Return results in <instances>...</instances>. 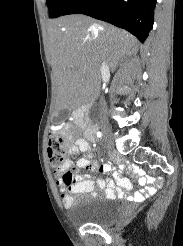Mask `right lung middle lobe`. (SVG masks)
Masks as SVG:
<instances>
[{"label":"right lung middle lobe","mask_w":183,"mask_h":246,"mask_svg":"<svg viewBox=\"0 0 183 246\" xmlns=\"http://www.w3.org/2000/svg\"><path fill=\"white\" fill-rule=\"evenodd\" d=\"M75 0H46L49 8V17L56 18L74 3Z\"/></svg>","instance_id":"dd1d6c3e"}]
</instances>
